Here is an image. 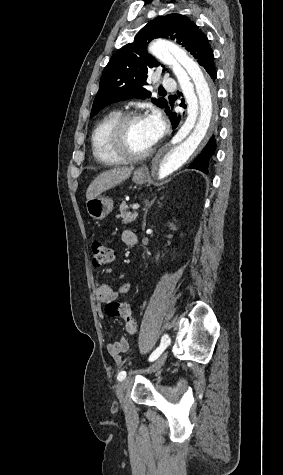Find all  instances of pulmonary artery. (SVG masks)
<instances>
[{
  "instance_id": "obj_1",
  "label": "pulmonary artery",
  "mask_w": 283,
  "mask_h": 475,
  "mask_svg": "<svg viewBox=\"0 0 283 475\" xmlns=\"http://www.w3.org/2000/svg\"><path fill=\"white\" fill-rule=\"evenodd\" d=\"M160 86L162 89H169L170 86H175V84H171L169 80H162Z\"/></svg>"
}]
</instances>
